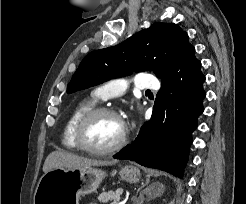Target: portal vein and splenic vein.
Returning a JSON list of instances; mask_svg holds the SVG:
<instances>
[{
	"mask_svg": "<svg viewBox=\"0 0 246 204\" xmlns=\"http://www.w3.org/2000/svg\"><path fill=\"white\" fill-rule=\"evenodd\" d=\"M117 202H118V200L114 201L112 204H118Z\"/></svg>",
	"mask_w": 246,
	"mask_h": 204,
	"instance_id": "portal-vein-and-splenic-vein-1",
	"label": "portal vein and splenic vein"
}]
</instances>
